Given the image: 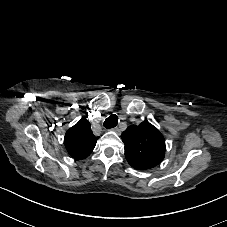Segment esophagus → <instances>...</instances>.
Returning a JSON list of instances; mask_svg holds the SVG:
<instances>
[{
  "instance_id": "34e87169",
  "label": "esophagus",
  "mask_w": 227,
  "mask_h": 227,
  "mask_svg": "<svg viewBox=\"0 0 227 227\" xmlns=\"http://www.w3.org/2000/svg\"><path fill=\"white\" fill-rule=\"evenodd\" d=\"M114 132H116L118 135H120L121 134V132H120V129L119 128H113L112 129Z\"/></svg>"
}]
</instances>
